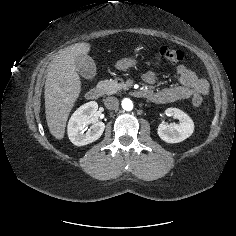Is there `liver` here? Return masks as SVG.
<instances>
[{
	"mask_svg": "<svg viewBox=\"0 0 236 236\" xmlns=\"http://www.w3.org/2000/svg\"><path fill=\"white\" fill-rule=\"evenodd\" d=\"M89 43H77L59 51L48 65L45 81V113L50 133L64 138L66 122L81 92L75 62L90 51Z\"/></svg>",
	"mask_w": 236,
	"mask_h": 236,
	"instance_id": "obj_1",
	"label": "liver"
}]
</instances>
